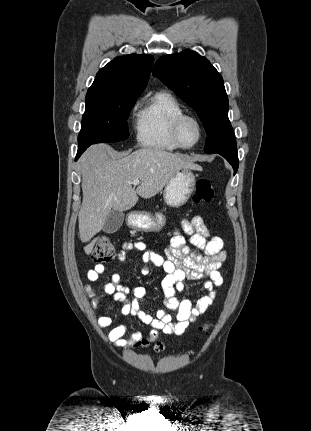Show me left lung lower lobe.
I'll return each instance as SVG.
<instances>
[{
	"label": "left lung lower lobe",
	"instance_id": "obj_1",
	"mask_svg": "<svg viewBox=\"0 0 311 431\" xmlns=\"http://www.w3.org/2000/svg\"><path fill=\"white\" fill-rule=\"evenodd\" d=\"M221 156H223L233 167L234 174L238 170L239 160H238V153L236 152H219Z\"/></svg>",
	"mask_w": 311,
	"mask_h": 431
}]
</instances>
